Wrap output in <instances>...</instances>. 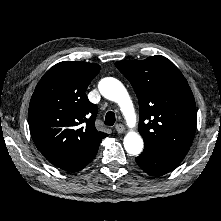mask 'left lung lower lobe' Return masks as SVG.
Listing matches in <instances>:
<instances>
[{
  "mask_svg": "<svg viewBox=\"0 0 221 221\" xmlns=\"http://www.w3.org/2000/svg\"><path fill=\"white\" fill-rule=\"evenodd\" d=\"M184 157L185 155L144 144V151L135 160L146 173L161 176L175 169Z\"/></svg>",
  "mask_w": 221,
  "mask_h": 221,
  "instance_id": "left-lung-lower-lobe-1",
  "label": "left lung lower lobe"
}]
</instances>
